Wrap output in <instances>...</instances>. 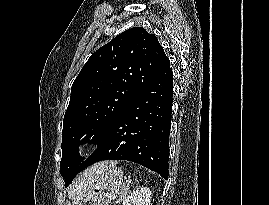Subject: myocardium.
Instances as JSON below:
<instances>
[{"label": "myocardium", "mask_w": 269, "mask_h": 205, "mask_svg": "<svg viewBox=\"0 0 269 205\" xmlns=\"http://www.w3.org/2000/svg\"><path fill=\"white\" fill-rule=\"evenodd\" d=\"M95 144V141L92 138H83L77 146L79 151H87L92 148Z\"/></svg>", "instance_id": "1"}]
</instances>
